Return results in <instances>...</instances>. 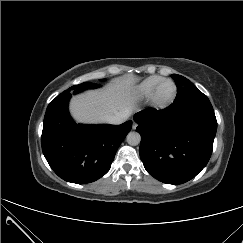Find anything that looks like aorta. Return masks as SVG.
I'll return each instance as SVG.
<instances>
[{
	"label": "aorta",
	"instance_id": "762f6f07",
	"mask_svg": "<svg viewBox=\"0 0 243 243\" xmlns=\"http://www.w3.org/2000/svg\"><path fill=\"white\" fill-rule=\"evenodd\" d=\"M127 143L131 146H136L141 141V136L138 132H129L126 137Z\"/></svg>",
	"mask_w": 243,
	"mask_h": 243
}]
</instances>
